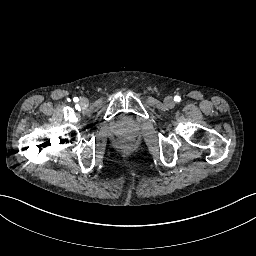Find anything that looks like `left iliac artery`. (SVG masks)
<instances>
[{
	"label": "left iliac artery",
	"mask_w": 256,
	"mask_h": 256,
	"mask_svg": "<svg viewBox=\"0 0 256 256\" xmlns=\"http://www.w3.org/2000/svg\"><path fill=\"white\" fill-rule=\"evenodd\" d=\"M176 98H179V99H180V97H179V96H175V97H174V100H175V101H177V100H176Z\"/></svg>",
	"instance_id": "left-iliac-artery-1"
}]
</instances>
